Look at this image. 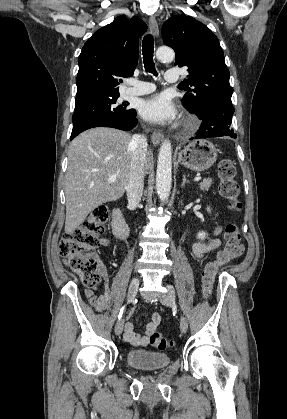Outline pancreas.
Here are the masks:
<instances>
[{
	"instance_id": "obj_1",
	"label": "pancreas",
	"mask_w": 287,
	"mask_h": 419,
	"mask_svg": "<svg viewBox=\"0 0 287 419\" xmlns=\"http://www.w3.org/2000/svg\"><path fill=\"white\" fill-rule=\"evenodd\" d=\"M211 184H212V180L211 179H207V180H203V182H201L200 184H199V186H200V189L201 190H205V191H208L209 190V188L211 187Z\"/></svg>"
}]
</instances>
